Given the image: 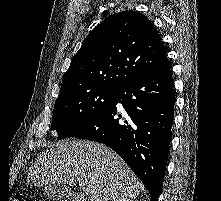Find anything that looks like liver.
<instances>
[{"instance_id": "obj_1", "label": "liver", "mask_w": 221, "mask_h": 201, "mask_svg": "<svg viewBox=\"0 0 221 201\" xmlns=\"http://www.w3.org/2000/svg\"><path fill=\"white\" fill-rule=\"evenodd\" d=\"M28 183L34 186L78 183L82 192L71 201H119L135 199L142 183L109 147L85 140L50 144L32 163Z\"/></svg>"}]
</instances>
